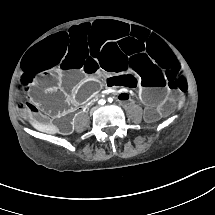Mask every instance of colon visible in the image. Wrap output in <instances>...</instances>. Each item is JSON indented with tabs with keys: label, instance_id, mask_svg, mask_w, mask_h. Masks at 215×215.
Here are the masks:
<instances>
[{
	"label": "colon",
	"instance_id": "obj_1",
	"mask_svg": "<svg viewBox=\"0 0 215 215\" xmlns=\"http://www.w3.org/2000/svg\"><path fill=\"white\" fill-rule=\"evenodd\" d=\"M47 95H51V93H47ZM42 105L40 102L36 103H24L20 102L18 108L27 116H35L39 112V106Z\"/></svg>",
	"mask_w": 215,
	"mask_h": 215
}]
</instances>
